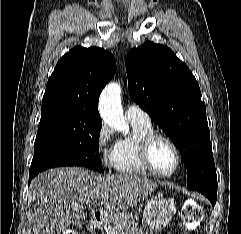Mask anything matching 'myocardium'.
Returning a JSON list of instances; mask_svg holds the SVG:
<instances>
[{
	"instance_id": "1",
	"label": "myocardium",
	"mask_w": 241,
	"mask_h": 234,
	"mask_svg": "<svg viewBox=\"0 0 241 234\" xmlns=\"http://www.w3.org/2000/svg\"><path fill=\"white\" fill-rule=\"evenodd\" d=\"M163 140L166 141L168 144L171 145L173 148L175 154H176V164L175 167L172 171L164 173L159 171L153 164L152 161V149L154 144L159 141ZM140 157L141 161L144 165V167L153 175L161 178H167L173 176L178 169L180 168L181 161H182V156H181V151L177 143L168 135L159 133V132H151L144 136V138L141 141L140 145Z\"/></svg>"
}]
</instances>
